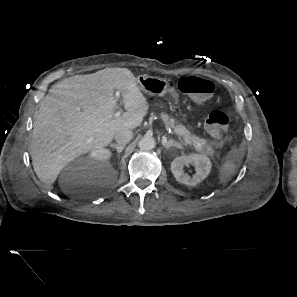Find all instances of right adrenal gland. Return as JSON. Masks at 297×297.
Here are the masks:
<instances>
[{
	"mask_svg": "<svg viewBox=\"0 0 297 297\" xmlns=\"http://www.w3.org/2000/svg\"><path fill=\"white\" fill-rule=\"evenodd\" d=\"M110 147L116 149L117 153H121L122 150L125 148V145L110 144Z\"/></svg>",
	"mask_w": 297,
	"mask_h": 297,
	"instance_id": "right-adrenal-gland-1",
	"label": "right adrenal gland"
}]
</instances>
